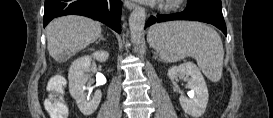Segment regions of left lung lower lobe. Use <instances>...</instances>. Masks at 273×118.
<instances>
[{
    "instance_id": "obj_1",
    "label": "left lung lower lobe",
    "mask_w": 273,
    "mask_h": 118,
    "mask_svg": "<svg viewBox=\"0 0 273 118\" xmlns=\"http://www.w3.org/2000/svg\"><path fill=\"white\" fill-rule=\"evenodd\" d=\"M173 20H194L212 24L219 28L225 35H227L226 24L222 13L212 10L203 6H194L187 4L186 9L183 12L168 14V15H156L151 16L145 28L154 24Z\"/></svg>"
}]
</instances>
